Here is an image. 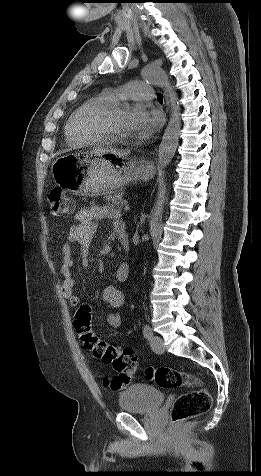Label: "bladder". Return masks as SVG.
I'll use <instances>...</instances> for the list:
<instances>
[{"label":"bladder","instance_id":"bladder-1","mask_svg":"<svg viewBox=\"0 0 261 476\" xmlns=\"http://www.w3.org/2000/svg\"><path fill=\"white\" fill-rule=\"evenodd\" d=\"M164 393L148 384H134L123 390L118 397L119 408L128 413L151 414L164 402Z\"/></svg>","mask_w":261,"mask_h":476}]
</instances>
